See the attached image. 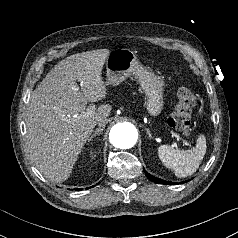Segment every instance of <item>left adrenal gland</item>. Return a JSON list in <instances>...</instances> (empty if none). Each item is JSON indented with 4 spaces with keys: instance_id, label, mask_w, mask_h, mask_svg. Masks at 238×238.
<instances>
[{
    "instance_id": "1",
    "label": "left adrenal gland",
    "mask_w": 238,
    "mask_h": 238,
    "mask_svg": "<svg viewBox=\"0 0 238 238\" xmlns=\"http://www.w3.org/2000/svg\"><path fill=\"white\" fill-rule=\"evenodd\" d=\"M146 131H147V134H148V136H149V139H152V135H151V133H150L149 128H146Z\"/></svg>"
}]
</instances>
